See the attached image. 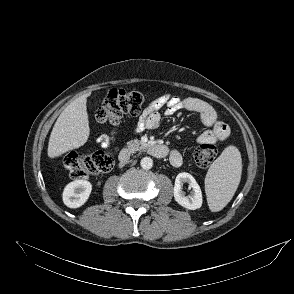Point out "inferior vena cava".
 Here are the masks:
<instances>
[{"mask_svg": "<svg viewBox=\"0 0 294 294\" xmlns=\"http://www.w3.org/2000/svg\"><path fill=\"white\" fill-rule=\"evenodd\" d=\"M127 162V159H121V165H124Z\"/></svg>", "mask_w": 294, "mask_h": 294, "instance_id": "obj_1", "label": "inferior vena cava"}]
</instances>
